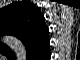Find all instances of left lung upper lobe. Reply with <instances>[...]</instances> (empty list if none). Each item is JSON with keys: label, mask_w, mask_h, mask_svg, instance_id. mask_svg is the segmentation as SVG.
I'll list each match as a JSON object with an SVG mask.
<instances>
[{"label": "left lung upper lobe", "mask_w": 80, "mask_h": 60, "mask_svg": "<svg viewBox=\"0 0 80 60\" xmlns=\"http://www.w3.org/2000/svg\"><path fill=\"white\" fill-rule=\"evenodd\" d=\"M43 19L39 9L32 3H12L0 10V34L19 38L26 46L28 57L35 59L37 46L47 32Z\"/></svg>", "instance_id": "left-lung-upper-lobe-1"}]
</instances>
